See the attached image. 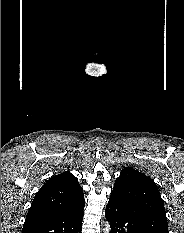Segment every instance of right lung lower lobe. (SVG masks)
I'll list each match as a JSON object with an SVG mask.
<instances>
[{
  "instance_id": "obj_1",
  "label": "right lung lower lobe",
  "mask_w": 184,
  "mask_h": 233,
  "mask_svg": "<svg viewBox=\"0 0 184 233\" xmlns=\"http://www.w3.org/2000/svg\"><path fill=\"white\" fill-rule=\"evenodd\" d=\"M83 211L79 214L57 218L24 228L22 233H81Z\"/></svg>"
}]
</instances>
